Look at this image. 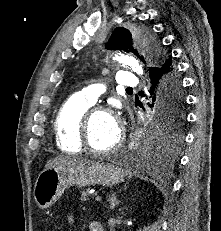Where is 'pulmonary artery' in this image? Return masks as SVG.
Listing matches in <instances>:
<instances>
[{"label": "pulmonary artery", "mask_w": 221, "mask_h": 231, "mask_svg": "<svg viewBox=\"0 0 221 231\" xmlns=\"http://www.w3.org/2000/svg\"><path fill=\"white\" fill-rule=\"evenodd\" d=\"M116 84L119 87L133 88L137 86L138 80L132 73L121 71L116 75ZM103 93L104 88L101 85L92 84L80 90L76 96L92 105Z\"/></svg>", "instance_id": "1"}]
</instances>
